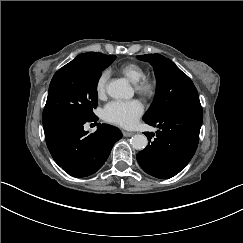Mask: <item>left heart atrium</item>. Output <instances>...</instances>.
Segmentation results:
<instances>
[{
  "mask_svg": "<svg viewBox=\"0 0 243 243\" xmlns=\"http://www.w3.org/2000/svg\"><path fill=\"white\" fill-rule=\"evenodd\" d=\"M144 106L138 99L129 101L113 100L102 109V117L105 121L120 126L132 125L142 115Z\"/></svg>",
  "mask_w": 243,
  "mask_h": 243,
  "instance_id": "obj_1",
  "label": "left heart atrium"
}]
</instances>
